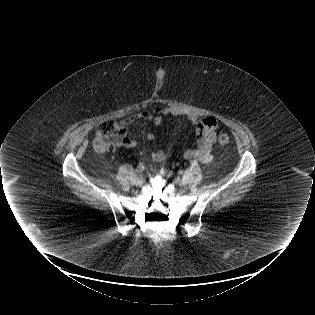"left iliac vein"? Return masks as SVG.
I'll return each instance as SVG.
<instances>
[{"instance_id":"4c4485c4","label":"left iliac vein","mask_w":315,"mask_h":315,"mask_svg":"<svg viewBox=\"0 0 315 315\" xmlns=\"http://www.w3.org/2000/svg\"><path fill=\"white\" fill-rule=\"evenodd\" d=\"M180 180H181V178H180V176H178V175H175V176H173V178H172V182L175 183V184L179 183Z\"/></svg>"}]
</instances>
